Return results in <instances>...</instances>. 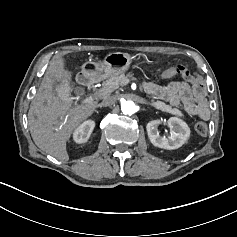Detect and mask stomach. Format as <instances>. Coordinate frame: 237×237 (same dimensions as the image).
I'll use <instances>...</instances> for the list:
<instances>
[{"label":"stomach","instance_id":"stomach-1","mask_svg":"<svg viewBox=\"0 0 237 237\" xmlns=\"http://www.w3.org/2000/svg\"><path fill=\"white\" fill-rule=\"evenodd\" d=\"M136 60L144 64H154L156 61L144 56L142 59H134V57L124 52H111L105 55L99 63H94L98 72V79H106L116 76L127 71L132 62Z\"/></svg>","mask_w":237,"mask_h":237}]
</instances>
